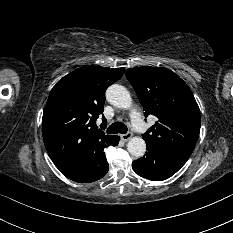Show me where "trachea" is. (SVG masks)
Returning a JSON list of instances; mask_svg holds the SVG:
<instances>
[{"label": "trachea", "mask_w": 233, "mask_h": 233, "mask_svg": "<svg viewBox=\"0 0 233 233\" xmlns=\"http://www.w3.org/2000/svg\"><path fill=\"white\" fill-rule=\"evenodd\" d=\"M127 131H128L127 126L121 122H114L107 129V133L109 134H117V133L126 134Z\"/></svg>", "instance_id": "obj_1"}]
</instances>
